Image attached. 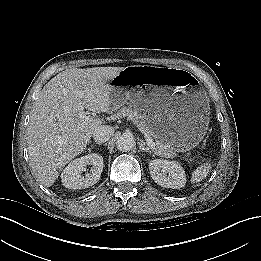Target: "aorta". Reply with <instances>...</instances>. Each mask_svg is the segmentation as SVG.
<instances>
[{"label": "aorta", "instance_id": "1", "mask_svg": "<svg viewBox=\"0 0 261 261\" xmlns=\"http://www.w3.org/2000/svg\"><path fill=\"white\" fill-rule=\"evenodd\" d=\"M116 145L118 150L127 152L135 146L134 136L131 133H124L118 138Z\"/></svg>", "mask_w": 261, "mask_h": 261}]
</instances>
